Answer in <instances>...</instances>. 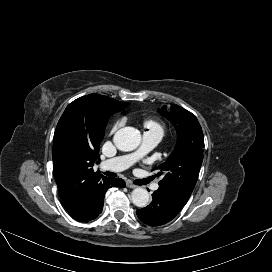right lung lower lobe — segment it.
Segmentation results:
<instances>
[{
  "label": "right lung lower lobe",
  "mask_w": 272,
  "mask_h": 272,
  "mask_svg": "<svg viewBox=\"0 0 272 272\" xmlns=\"http://www.w3.org/2000/svg\"><path fill=\"white\" fill-rule=\"evenodd\" d=\"M110 187H125V182L124 180L120 178L112 179L108 178L106 184L103 186L101 192H100V198L98 199L96 205L94 208L82 219L78 220L80 222H87L89 220L95 219L99 213L101 212L103 208V203H104V195L107 191L108 188Z\"/></svg>",
  "instance_id": "right-lung-lower-lobe-1"
}]
</instances>
